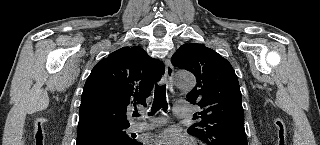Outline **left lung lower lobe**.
I'll use <instances>...</instances> for the list:
<instances>
[{
  "mask_svg": "<svg viewBox=\"0 0 320 145\" xmlns=\"http://www.w3.org/2000/svg\"><path fill=\"white\" fill-rule=\"evenodd\" d=\"M229 145H238V144H236V143H231V144H229Z\"/></svg>",
  "mask_w": 320,
  "mask_h": 145,
  "instance_id": "1",
  "label": "left lung lower lobe"
}]
</instances>
